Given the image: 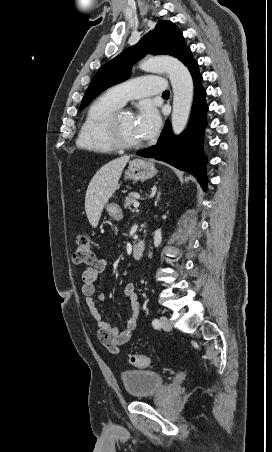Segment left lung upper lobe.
<instances>
[{
    "mask_svg": "<svg viewBox=\"0 0 272 452\" xmlns=\"http://www.w3.org/2000/svg\"><path fill=\"white\" fill-rule=\"evenodd\" d=\"M189 50L181 31L174 23L164 20L158 21L155 29L144 36L136 45L124 50L99 69L83 97L80 110L85 108L102 91L126 80L131 74L133 63L147 53L170 55L181 61Z\"/></svg>",
    "mask_w": 272,
    "mask_h": 452,
    "instance_id": "obj_1",
    "label": "left lung upper lobe"
}]
</instances>
